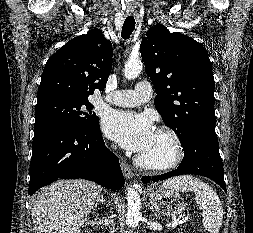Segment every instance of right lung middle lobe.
Returning a JSON list of instances; mask_svg holds the SVG:
<instances>
[{
  "instance_id": "dd1d6c3e",
  "label": "right lung middle lobe",
  "mask_w": 253,
  "mask_h": 233,
  "mask_svg": "<svg viewBox=\"0 0 253 233\" xmlns=\"http://www.w3.org/2000/svg\"><path fill=\"white\" fill-rule=\"evenodd\" d=\"M88 99L52 97L37 103L34 129L46 124H62L89 131L99 124V118L91 112Z\"/></svg>"
}]
</instances>
